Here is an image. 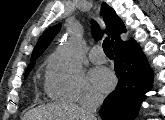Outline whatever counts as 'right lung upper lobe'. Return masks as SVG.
I'll return each instance as SVG.
<instances>
[{"instance_id":"cb5924a9","label":"right lung upper lobe","mask_w":165,"mask_h":120,"mask_svg":"<svg viewBox=\"0 0 165 120\" xmlns=\"http://www.w3.org/2000/svg\"><path fill=\"white\" fill-rule=\"evenodd\" d=\"M101 13L103 15V20L108 30V34L111 37L113 48L116 45L125 42L124 34L126 33V28L122 20L116 15L115 11L109 5L103 2L101 7ZM60 28L61 24H57L49 28L46 32L42 34L36 46L34 47L31 56V63L28 66L35 63V60L44 52V50L50 44L52 39L60 31ZM92 31L95 40L101 39L102 32L95 21H92Z\"/></svg>"}]
</instances>
